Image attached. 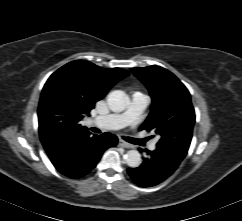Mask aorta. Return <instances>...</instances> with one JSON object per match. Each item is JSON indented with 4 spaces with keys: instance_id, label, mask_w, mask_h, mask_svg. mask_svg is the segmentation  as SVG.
<instances>
[{
    "instance_id": "762f6f07",
    "label": "aorta",
    "mask_w": 242,
    "mask_h": 221,
    "mask_svg": "<svg viewBox=\"0 0 242 221\" xmlns=\"http://www.w3.org/2000/svg\"><path fill=\"white\" fill-rule=\"evenodd\" d=\"M107 103L111 111L122 112L128 104V98L123 91L115 90L108 94ZM125 162L129 167H139L142 159L137 150H129L125 155Z\"/></svg>"
}]
</instances>
